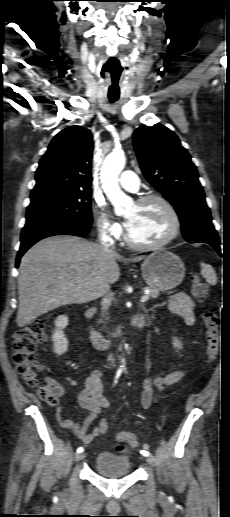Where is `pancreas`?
Wrapping results in <instances>:
<instances>
[{
    "label": "pancreas",
    "instance_id": "pancreas-1",
    "mask_svg": "<svg viewBox=\"0 0 230 517\" xmlns=\"http://www.w3.org/2000/svg\"><path fill=\"white\" fill-rule=\"evenodd\" d=\"M143 290H148L149 291V296L152 297V298H157L159 296V290L157 289H154V288H151V287H145L143 288ZM103 317L105 315H107V305L104 306V311H103Z\"/></svg>",
    "mask_w": 230,
    "mask_h": 517
}]
</instances>
